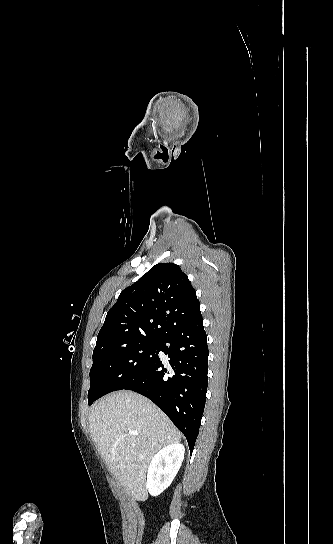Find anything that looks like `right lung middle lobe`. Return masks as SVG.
<instances>
[{
  "instance_id": "dd1d6c3e",
  "label": "right lung middle lobe",
  "mask_w": 333,
  "mask_h": 544,
  "mask_svg": "<svg viewBox=\"0 0 333 544\" xmlns=\"http://www.w3.org/2000/svg\"><path fill=\"white\" fill-rule=\"evenodd\" d=\"M159 340L138 339L93 355L88 404L135 380L156 357Z\"/></svg>"
}]
</instances>
